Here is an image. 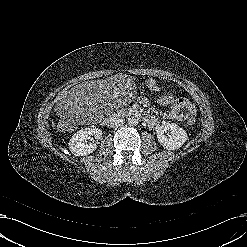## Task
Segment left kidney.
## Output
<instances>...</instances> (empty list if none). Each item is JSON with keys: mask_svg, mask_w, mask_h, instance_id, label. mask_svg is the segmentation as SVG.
<instances>
[{"mask_svg": "<svg viewBox=\"0 0 247 247\" xmlns=\"http://www.w3.org/2000/svg\"><path fill=\"white\" fill-rule=\"evenodd\" d=\"M156 132L158 142L169 150L180 148L188 139L186 131L175 123H164Z\"/></svg>", "mask_w": 247, "mask_h": 247, "instance_id": "1", "label": "left kidney"}]
</instances>
